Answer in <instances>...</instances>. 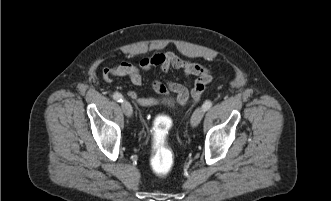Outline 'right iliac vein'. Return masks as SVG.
<instances>
[{
    "mask_svg": "<svg viewBox=\"0 0 331 201\" xmlns=\"http://www.w3.org/2000/svg\"><path fill=\"white\" fill-rule=\"evenodd\" d=\"M121 107H122V110H123V112L125 113V115L127 117H131L132 116L133 109H132L131 104L128 101L124 100L122 102V104H121Z\"/></svg>",
    "mask_w": 331,
    "mask_h": 201,
    "instance_id": "right-iliac-vein-1",
    "label": "right iliac vein"
}]
</instances>
